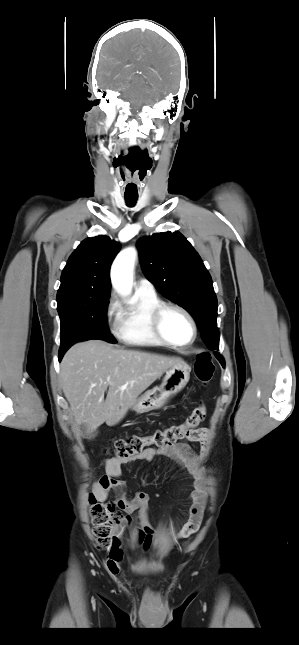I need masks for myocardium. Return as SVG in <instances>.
<instances>
[{
	"label": "myocardium",
	"mask_w": 299,
	"mask_h": 645,
	"mask_svg": "<svg viewBox=\"0 0 299 645\" xmlns=\"http://www.w3.org/2000/svg\"><path fill=\"white\" fill-rule=\"evenodd\" d=\"M174 309L181 312L190 322L192 327V337L187 343H176L167 338L163 331V317L167 310ZM151 326L156 337L164 344L173 348H186L192 345L197 338V324L192 316V314L183 306L172 303V302H162L160 303L151 314Z\"/></svg>",
	"instance_id": "obj_1"
}]
</instances>
